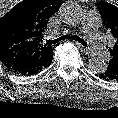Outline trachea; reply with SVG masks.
<instances>
[{
	"instance_id": "3493384b",
	"label": "trachea",
	"mask_w": 118,
	"mask_h": 118,
	"mask_svg": "<svg viewBox=\"0 0 118 118\" xmlns=\"http://www.w3.org/2000/svg\"><path fill=\"white\" fill-rule=\"evenodd\" d=\"M66 39H69V40L72 39L74 41L79 42L83 46L87 47V43L82 38H80L79 36H76V35H63L54 40H47V44H49V45L50 44H59V42L66 40Z\"/></svg>"
}]
</instances>
